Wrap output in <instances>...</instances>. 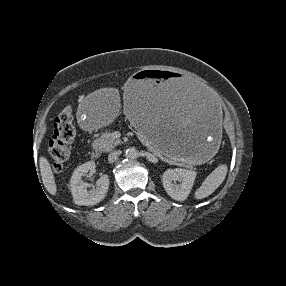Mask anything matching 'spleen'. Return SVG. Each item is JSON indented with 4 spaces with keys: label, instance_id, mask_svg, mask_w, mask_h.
I'll list each match as a JSON object with an SVG mask.
<instances>
[{
    "label": "spleen",
    "instance_id": "1",
    "mask_svg": "<svg viewBox=\"0 0 286 286\" xmlns=\"http://www.w3.org/2000/svg\"><path fill=\"white\" fill-rule=\"evenodd\" d=\"M228 168L225 164L219 165L212 171L201 186L195 191L196 199H203L211 195L224 181Z\"/></svg>",
    "mask_w": 286,
    "mask_h": 286
}]
</instances>
